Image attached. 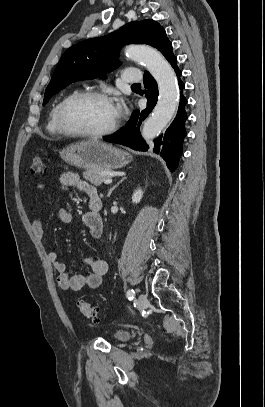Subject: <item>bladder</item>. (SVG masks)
I'll use <instances>...</instances> for the list:
<instances>
[{"instance_id": "bladder-1", "label": "bladder", "mask_w": 265, "mask_h": 407, "mask_svg": "<svg viewBox=\"0 0 265 407\" xmlns=\"http://www.w3.org/2000/svg\"><path fill=\"white\" fill-rule=\"evenodd\" d=\"M113 337L117 341H127L131 338V333L128 331L118 330L114 332Z\"/></svg>"}]
</instances>
